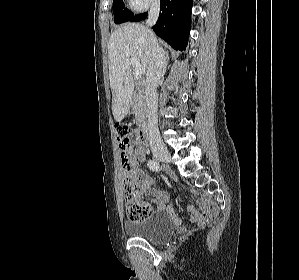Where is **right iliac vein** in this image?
<instances>
[{
  "label": "right iliac vein",
  "instance_id": "1",
  "mask_svg": "<svg viewBox=\"0 0 299 280\" xmlns=\"http://www.w3.org/2000/svg\"><path fill=\"white\" fill-rule=\"evenodd\" d=\"M154 156L163 161V162H170L171 161V154L165 147H159L153 150Z\"/></svg>",
  "mask_w": 299,
  "mask_h": 280
}]
</instances>
